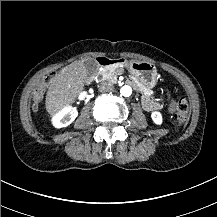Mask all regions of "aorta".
<instances>
[{
    "instance_id": "aorta-1",
    "label": "aorta",
    "mask_w": 217,
    "mask_h": 217,
    "mask_svg": "<svg viewBox=\"0 0 217 217\" xmlns=\"http://www.w3.org/2000/svg\"><path fill=\"white\" fill-rule=\"evenodd\" d=\"M120 93L125 97H129L132 94V88L128 85H124L123 87H121Z\"/></svg>"
}]
</instances>
